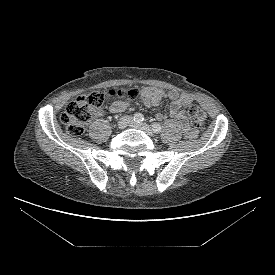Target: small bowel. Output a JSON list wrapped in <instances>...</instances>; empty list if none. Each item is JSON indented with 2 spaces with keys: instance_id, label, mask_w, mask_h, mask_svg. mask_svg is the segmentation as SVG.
Wrapping results in <instances>:
<instances>
[{
  "instance_id": "obj_1",
  "label": "small bowel",
  "mask_w": 275,
  "mask_h": 275,
  "mask_svg": "<svg viewBox=\"0 0 275 275\" xmlns=\"http://www.w3.org/2000/svg\"><path fill=\"white\" fill-rule=\"evenodd\" d=\"M140 98L143 103L148 106H157L165 100H170V116L175 119L186 138L192 139L197 136V131L190 126L185 112V108L192 103V97L185 93H178L177 91H165L155 87H147L140 91ZM129 106L128 101L116 100L111 103L109 110L111 113H121ZM166 118V116H161Z\"/></svg>"
}]
</instances>
